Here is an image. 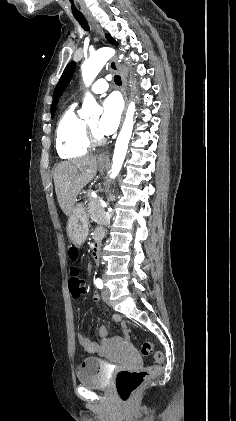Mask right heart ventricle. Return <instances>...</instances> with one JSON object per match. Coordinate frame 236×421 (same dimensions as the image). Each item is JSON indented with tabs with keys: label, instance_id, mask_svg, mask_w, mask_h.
Returning a JSON list of instances; mask_svg holds the SVG:
<instances>
[{
	"label": "right heart ventricle",
	"instance_id": "1",
	"mask_svg": "<svg viewBox=\"0 0 236 421\" xmlns=\"http://www.w3.org/2000/svg\"><path fill=\"white\" fill-rule=\"evenodd\" d=\"M76 104L69 106L61 115L56 128V150L67 160L85 156L90 146L83 135L84 119L76 112Z\"/></svg>",
	"mask_w": 236,
	"mask_h": 421
}]
</instances>
